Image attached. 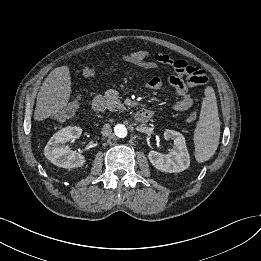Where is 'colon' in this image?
I'll return each instance as SVG.
<instances>
[{"label":"colon","instance_id":"obj_1","mask_svg":"<svg viewBox=\"0 0 261 261\" xmlns=\"http://www.w3.org/2000/svg\"><path fill=\"white\" fill-rule=\"evenodd\" d=\"M154 66L155 65L150 61L145 62L146 68H152ZM169 66L179 77L185 79L193 86H202L210 82L209 77L201 67L191 65L182 59H172ZM80 107L81 99L79 96H75L65 106L53 111L50 116L57 120H64L77 113ZM194 118L195 114H192L190 120H193Z\"/></svg>","mask_w":261,"mask_h":261}]
</instances>
